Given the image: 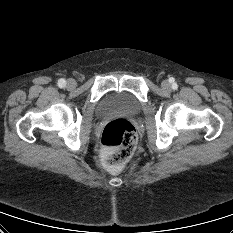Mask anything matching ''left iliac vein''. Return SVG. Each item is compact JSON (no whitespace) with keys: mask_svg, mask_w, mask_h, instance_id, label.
Returning <instances> with one entry per match:
<instances>
[{"mask_svg":"<svg viewBox=\"0 0 233 233\" xmlns=\"http://www.w3.org/2000/svg\"><path fill=\"white\" fill-rule=\"evenodd\" d=\"M161 87H162V89H164L165 91H170V90H171V85H170V83H169L167 80H164V81L161 83Z\"/></svg>","mask_w":233,"mask_h":233,"instance_id":"4c4485c4","label":"left iliac vein"}]
</instances>
